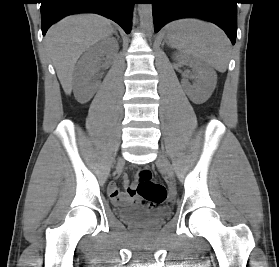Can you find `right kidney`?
I'll use <instances>...</instances> for the list:
<instances>
[{
    "label": "right kidney",
    "mask_w": 279,
    "mask_h": 267,
    "mask_svg": "<svg viewBox=\"0 0 279 267\" xmlns=\"http://www.w3.org/2000/svg\"><path fill=\"white\" fill-rule=\"evenodd\" d=\"M118 44L115 40L108 39L101 41L89 48L83 55L78 71L74 77V92L76 99L81 103L88 102L96 91V80L92 78L93 67L98 62V56L107 54L108 57L116 55L118 52ZM85 67V69H83Z\"/></svg>",
    "instance_id": "ca27d5eb"
}]
</instances>
